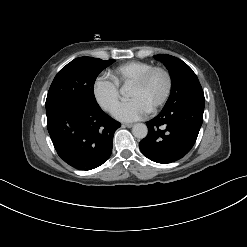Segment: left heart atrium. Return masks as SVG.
<instances>
[{"label":"left heart atrium","mask_w":247,"mask_h":247,"mask_svg":"<svg viewBox=\"0 0 247 247\" xmlns=\"http://www.w3.org/2000/svg\"><path fill=\"white\" fill-rule=\"evenodd\" d=\"M150 109L139 99H132L117 105L113 115L120 121H135L143 118L149 113Z\"/></svg>","instance_id":"1"}]
</instances>
